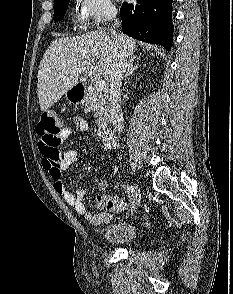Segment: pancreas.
Returning <instances> with one entry per match:
<instances>
[{"instance_id": "cf45deb5", "label": "pancreas", "mask_w": 233, "mask_h": 294, "mask_svg": "<svg viewBox=\"0 0 233 294\" xmlns=\"http://www.w3.org/2000/svg\"><path fill=\"white\" fill-rule=\"evenodd\" d=\"M106 94L103 92H98L96 89L91 88L85 95L83 103L89 109L95 112L96 124L100 130H103L107 126V107H106Z\"/></svg>"}]
</instances>
